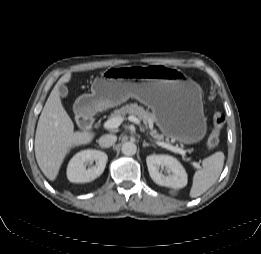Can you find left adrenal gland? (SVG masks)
Here are the masks:
<instances>
[{
    "label": "left adrenal gland",
    "instance_id": "a2214340",
    "mask_svg": "<svg viewBox=\"0 0 261 254\" xmlns=\"http://www.w3.org/2000/svg\"><path fill=\"white\" fill-rule=\"evenodd\" d=\"M143 147L145 148V147H148V146H155L154 144H151V143H147L145 140L143 141Z\"/></svg>",
    "mask_w": 261,
    "mask_h": 254
}]
</instances>
